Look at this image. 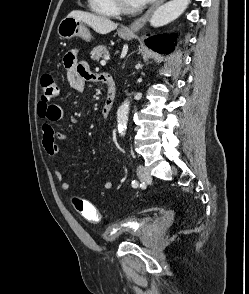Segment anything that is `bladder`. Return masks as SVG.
<instances>
[{"label": "bladder", "mask_w": 249, "mask_h": 294, "mask_svg": "<svg viewBox=\"0 0 249 294\" xmlns=\"http://www.w3.org/2000/svg\"><path fill=\"white\" fill-rule=\"evenodd\" d=\"M153 224L154 220L152 217H142L137 221L130 223L122 230L113 232L118 227L117 224H114L104 231L102 234V239L105 243H113L121 236L126 235L132 239L143 240L147 238V234L151 231Z\"/></svg>", "instance_id": "31cf9c89"}]
</instances>
